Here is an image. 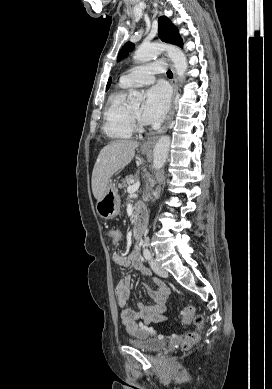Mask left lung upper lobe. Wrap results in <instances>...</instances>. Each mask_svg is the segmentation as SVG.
I'll return each mask as SVG.
<instances>
[{
    "instance_id": "5c2ea615",
    "label": "left lung upper lobe",
    "mask_w": 272,
    "mask_h": 389,
    "mask_svg": "<svg viewBox=\"0 0 272 389\" xmlns=\"http://www.w3.org/2000/svg\"><path fill=\"white\" fill-rule=\"evenodd\" d=\"M158 37L167 43L175 44L180 47L183 46V41L179 35L178 29L172 24L169 18L161 16L158 19ZM134 47V44L127 42L121 49L118 55V60H121L128 56Z\"/></svg>"
}]
</instances>
